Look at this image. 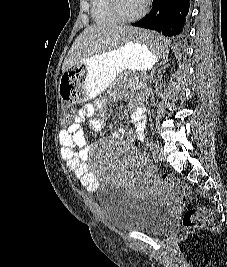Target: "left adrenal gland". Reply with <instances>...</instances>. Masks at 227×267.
<instances>
[{
    "instance_id": "obj_1",
    "label": "left adrenal gland",
    "mask_w": 227,
    "mask_h": 267,
    "mask_svg": "<svg viewBox=\"0 0 227 267\" xmlns=\"http://www.w3.org/2000/svg\"><path fill=\"white\" fill-rule=\"evenodd\" d=\"M165 63H166V61H163V62L160 63L159 66H161V65H162V66H161V68L158 70L159 73L161 72V70H164L166 67L169 66L168 64L165 65ZM154 75H155V70L152 71V74H151L152 78L154 77Z\"/></svg>"
}]
</instances>
